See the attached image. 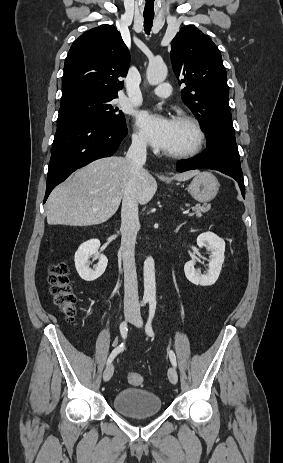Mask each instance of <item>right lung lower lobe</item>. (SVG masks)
<instances>
[{"label": "right lung lower lobe", "mask_w": 283, "mask_h": 463, "mask_svg": "<svg viewBox=\"0 0 283 463\" xmlns=\"http://www.w3.org/2000/svg\"><path fill=\"white\" fill-rule=\"evenodd\" d=\"M125 124L83 120L57 128L47 174L44 203L55 186L73 171L111 156L127 135Z\"/></svg>", "instance_id": "98d812e1"}]
</instances>
